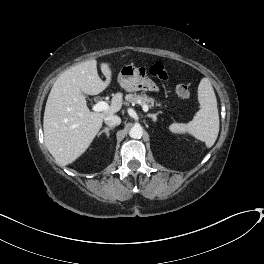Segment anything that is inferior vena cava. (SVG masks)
Here are the masks:
<instances>
[{
  "label": "inferior vena cava",
  "instance_id": "602c4592",
  "mask_svg": "<svg viewBox=\"0 0 264 264\" xmlns=\"http://www.w3.org/2000/svg\"><path fill=\"white\" fill-rule=\"evenodd\" d=\"M104 120H105V124L110 127H114L121 123V118L118 116H109V117H106Z\"/></svg>",
  "mask_w": 264,
  "mask_h": 264
}]
</instances>
